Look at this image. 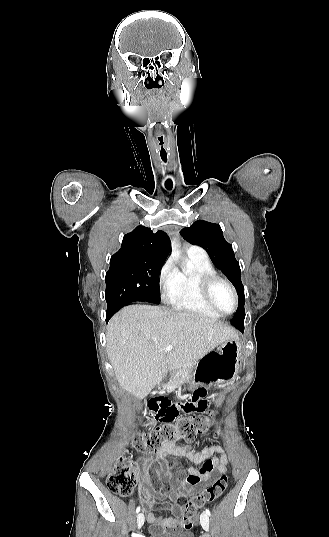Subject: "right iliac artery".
<instances>
[{"instance_id": "right-iliac-artery-1", "label": "right iliac artery", "mask_w": 329, "mask_h": 537, "mask_svg": "<svg viewBox=\"0 0 329 537\" xmlns=\"http://www.w3.org/2000/svg\"><path fill=\"white\" fill-rule=\"evenodd\" d=\"M140 509H141L140 506H138V507L136 508V513H137V514L140 512Z\"/></svg>"}]
</instances>
